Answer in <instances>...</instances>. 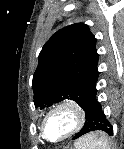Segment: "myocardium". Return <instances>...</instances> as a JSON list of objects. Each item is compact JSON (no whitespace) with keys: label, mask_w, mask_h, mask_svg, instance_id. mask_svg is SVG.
Listing matches in <instances>:
<instances>
[{"label":"myocardium","mask_w":124,"mask_h":149,"mask_svg":"<svg viewBox=\"0 0 124 149\" xmlns=\"http://www.w3.org/2000/svg\"><path fill=\"white\" fill-rule=\"evenodd\" d=\"M67 112L72 116L73 124L71 129L61 138L52 140L46 132V124L48 120L55 114ZM86 122V112L84 108L74 100H64L53 106L43 117L41 123L42 137L50 143H62L75 136L84 126Z\"/></svg>","instance_id":"f54148a6"}]
</instances>
